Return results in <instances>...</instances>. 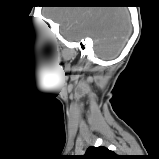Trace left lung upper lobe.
<instances>
[{"mask_svg": "<svg viewBox=\"0 0 159 159\" xmlns=\"http://www.w3.org/2000/svg\"><path fill=\"white\" fill-rule=\"evenodd\" d=\"M80 159H120V156L106 147H89Z\"/></svg>", "mask_w": 159, "mask_h": 159, "instance_id": "5c2ea615", "label": "left lung upper lobe"}]
</instances>
